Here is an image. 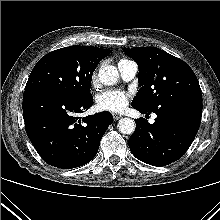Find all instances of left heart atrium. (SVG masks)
Returning <instances> with one entry per match:
<instances>
[{
    "label": "left heart atrium",
    "mask_w": 220,
    "mask_h": 220,
    "mask_svg": "<svg viewBox=\"0 0 220 220\" xmlns=\"http://www.w3.org/2000/svg\"><path fill=\"white\" fill-rule=\"evenodd\" d=\"M128 94L122 90H106L98 95L97 106L101 110L122 111L128 103Z\"/></svg>",
    "instance_id": "obj_1"
}]
</instances>
